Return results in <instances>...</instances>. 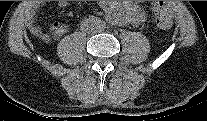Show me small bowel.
<instances>
[{
  "label": "small bowel",
  "mask_w": 207,
  "mask_h": 121,
  "mask_svg": "<svg viewBox=\"0 0 207 121\" xmlns=\"http://www.w3.org/2000/svg\"><path fill=\"white\" fill-rule=\"evenodd\" d=\"M58 5L60 7H66L68 5V2L59 1ZM100 5L104 10L107 19L114 23L135 24L142 22L144 19L143 12L138 8L136 4L132 2L119 4L111 1H102ZM31 28L34 33L39 34L43 39H48V36L44 33H41L35 25H32ZM66 30V25L58 22L55 23L52 27V32L56 37L63 35Z\"/></svg>",
  "instance_id": "obj_1"
}]
</instances>
